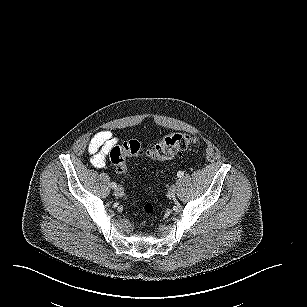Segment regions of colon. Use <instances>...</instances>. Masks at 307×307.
Instances as JSON below:
<instances>
[{
	"label": "colon",
	"mask_w": 307,
	"mask_h": 307,
	"mask_svg": "<svg viewBox=\"0 0 307 307\" xmlns=\"http://www.w3.org/2000/svg\"><path fill=\"white\" fill-rule=\"evenodd\" d=\"M198 143V138L186 133H172L150 147H142L137 140L126 141L114 146L109 152V159L119 173H126L129 157H147L152 160L164 161L174 158L179 152L184 151ZM146 217L153 215L155 208L150 202L142 207Z\"/></svg>",
	"instance_id": "obj_1"
}]
</instances>
